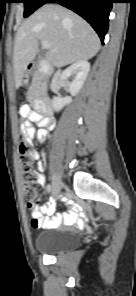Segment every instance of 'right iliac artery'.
Returning a JSON list of instances; mask_svg holds the SVG:
<instances>
[{
	"instance_id": "82829eb1",
	"label": "right iliac artery",
	"mask_w": 136,
	"mask_h": 296,
	"mask_svg": "<svg viewBox=\"0 0 136 296\" xmlns=\"http://www.w3.org/2000/svg\"><path fill=\"white\" fill-rule=\"evenodd\" d=\"M52 190V186L50 184L47 185V192L50 193Z\"/></svg>"
}]
</instances>
